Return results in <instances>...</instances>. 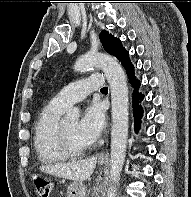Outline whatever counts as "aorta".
<instances>
[{
  "instance_id": "762f6f07",
  "label": "aorta",
  "mask_w": 191,
  "mask_h": 197,
  "mask_svg": "<svg viewBox=\"0 0 191 197\" xmlns=\"http://www.w3.org/2000/svg\"><path fill=\"white\" fill-rule=\"evenodd\" d=\"M102 69L111 90L112 130L110 150L111 186L107 197H116L117 186L126 156L128 138L129 100L125 72L118 61L106 54H86L75 63V70L85 72L90 68ZM80 113L77 109L67 111L64 119L69 122L78 120Z\"/></svg>"
}]
</instances>
